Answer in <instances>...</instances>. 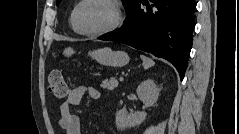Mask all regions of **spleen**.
<instances>
[{
	"label": "spleen",
	"mask_w": 239,
	"mask_h": 134,
	"mask_svg": "<svg viewBox=\"0 0 239 134\" xmlns=\"http://www.w3.org/2000/svg\"><path fill=\"white\" fill-rule=\"evenodd\" d=\"M140 57L142 59L143 66H144L145 69H148V68L155 65V62L151 58H148L144 55H141Z\"/></svg>",
	"instance_id": "spleen-1"
}]
</instances>
